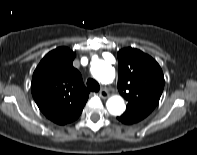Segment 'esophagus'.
Wrapping results in <instances>:
<instances>
[{"label":"esophagus","mask_w":197,"mask_h":155,"mask_svg":"<svg viewBox=\"0 0 197 155\" xmlns=\"http://www.w3.org/2000/svg\"><path fill=\"white\" fill-rule=\"evenodd\" d=\"M99 95L103 99H106V98L109 97V93H108V91L105 88L100 90Z\"/></svg>","instance_id":"34e87169"}]
</instances>
